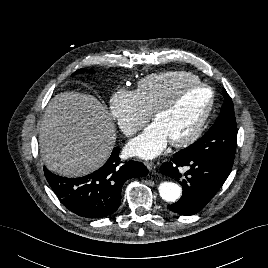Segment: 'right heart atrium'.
<instances>
[{
	"mask_svg": "<svg viewBox=\"0 0 268 268\" xmlns=\"http://www.w3.org/2000/svg\"><path fill=\"white\" fill-rule=\"evenodd\" d=\"M109 106L112 117L127 136L135 134L151 117L137 91L117 89L110 99Z\"/></svg>",
	"mask_w": 268,
	"mask_h": 268,
	"instance_id": "1",
	"label": "right heart atrium"
}]
</instances>
